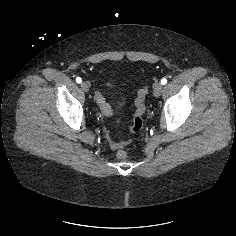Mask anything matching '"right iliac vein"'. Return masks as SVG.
Here are the masks:
<instances>
[{
    "label": "right iliac vein",
    "mask_w": 236,
    "mask_h": 236,
    "mask_svg": "<svg viewBox=\"0 0 236 236\" xmlns=\"http://www.w3.org/2000/svg\"><path fill=\"white\" fill-rule=\"evenodd\" d=\"M80 86L84 92L89 91V83L88 82H82Z\"/></svg>",
    "instance_id": "obj_1"
}]
</instances>
